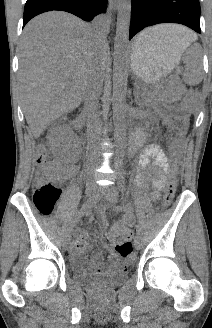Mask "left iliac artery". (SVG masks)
<instances>
[{
    "label": "left iliac artery",
    "instance_id": "44dca946",
    "mask_svg": "<svg viewBox=\"0 0 212 328\" xmlns=\"http://www.w3.org/2000/svg\"><path fill=\"white\" fill-rule=\"evenodd\" d=\"M118 188L122 193L125 192V185L121 181H119V183H118ZM136 232H137L138 236L141 235V228L139 225H136Z\"/></svg>",
    "mask_w": 212,
    "mask_h": 328
}]
</instances>
